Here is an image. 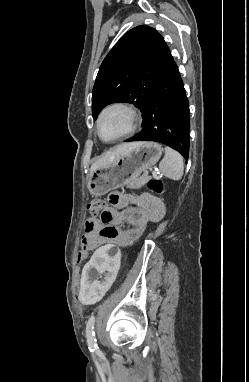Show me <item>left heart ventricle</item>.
Listing matches in <instances>:
<instances>
[{"mask_svg": "<svg viewBox=\"0 0 249 382\" xmlns=\"http://www.w3.org/2000/svg\"><path fill=\"white\" fill-rule=\"evenodd\" d=\"M128 128V119L122 111H111L101 121L100 131L104 138H113L124 133Z\"/></svg>", "mask_w": 249, "mask_h": 382, "instance_id": "b2bd125f", "label": "left heart ventricle"}]
</instances>
